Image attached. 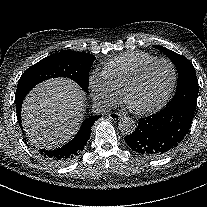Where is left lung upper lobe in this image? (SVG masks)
I'll return each mask as SVG.
<instances>
[{"mask_svg":"<svg viewBox=\"0 0 207 207\" xmlns=\"http://www.w3.org/2000/svg\"><path fill=\"white\" fill-rule=\"evenodd\" d=\"M174 63L178 71V83L176 93L167 106L183 105L195 111L198 96V81L195 68L184 56L179 55L160 45H154Z\"/></svg>","mask_w":207,"mask_h":207,"instance_id":"1","label":"left lung upper lobe"}]
</instances>
